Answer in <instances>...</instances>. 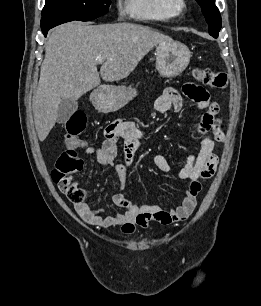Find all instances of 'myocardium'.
Listing matches in <instances>:
<instances>
[{
    "instance_id": "f54148a6",
    "label": "myocardium",
    "mask_w": 261,
    "mask_h": 306,
    "mask_svg": "<svg viewBox=\"0 0 261 306\" xmlns=\"http://www.w3.org/2000/svg\"><path fill=\"white\" fill-rule=\"evenodd\" d=\"M165 7L172 16L181 14L187 7L185 0H165Z\"/></svg>"
}]
</instances>
